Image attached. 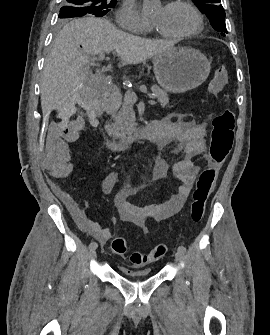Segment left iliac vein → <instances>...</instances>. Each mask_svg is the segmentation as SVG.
I'll return each instance as SVG.
<instances>
[{"label":"left iliac vein","mask_w":270,"mask_h":335,"mask_svg":"<svg viewBox=\"0 0 270 335\" xmlns=\"http://www.w3.org/2000/svg\"><path fill=\"white\" fill-rule=\"evenodd\" d=\"M175 257H176L177 260L182 261L183 258H184V253H182V252H180V251H177V252L175 253Z\"/></svg>","instance_id":"left-iliac-vein-1"}]
</instances>
